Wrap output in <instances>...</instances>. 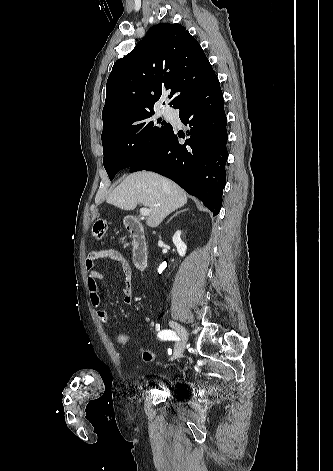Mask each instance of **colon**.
<instances>
[{"label":"colon","instance_id":"obj_1","mask_svg":"<svg viewBox=\"0 0 333 471\" xmlns=\"http://www.w3.org/2000/svg\"><path fill=\"white\" fill-rule=\"evenodd\" d=\"M108 230H109L108 222L105 220H98L93 226L92 235L96 239H102L106 236ZM116 342L120 346L125 347L132 342V338L128 334L118 333L116 335ZM141 355H142L143 360L146 362L153 361L155 357L154 353L151 350L146 349V348L141 349Z\"/></svg>","mask_w":333,"mask_h":471}]
</instances>
